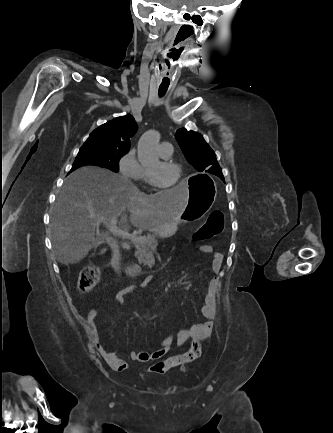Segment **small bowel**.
I'll list each match as a JSON object with an SVG mask.
<instances>
[{
  "mask_svg": "<svg viewBox=\"0 0 333 433\" xmlns=\"http://www.w3.org/2000/svg\"><path fill=\"white\" fill-rule=\"evenodd\" d=\"M200 250L205 253H212V271L218 272L222 260L223 255L220 252H215L213 247L210 245H203L200 247ZM152 281V276H147L143 282L142 286L148 285ZM133 290L132 287L124 288L118 291L115 295V298L119 302L125 301L128 294ZM200 312L202 317L205 319L202 323L192 324L186 328H183L179 331L170 333L160 344V347L154 351H143V352H135L132 351L129 353V357L133 361H140L144 363H158L162 361V357L165 356L173 345L183 346L189 339L191 338H199L205 339L207 338L212 331L213 328V319L216 314V293L215 291L207 287L205 290L203 303L200 307ZM97 310L91 309L88 311L86 315V323L89 327L90 334L94 343L96 350L104 357L107 363L112 366L116 370H123L127 362L126 360L109 350L104 343L102 342L100 329L97 323Z\"/></svg>",
  "mask_w": 333,
  "mask_h": 433,
  "instance_id": "small-bowel-1",
  "label": "small bowel"
}]
</instances>
